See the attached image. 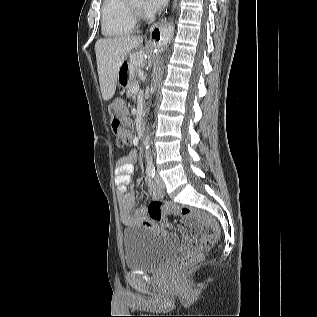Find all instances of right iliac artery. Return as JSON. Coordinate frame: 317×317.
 Here are the masks:
<instances>
[{
	"label": "right iliac artery",
	"mask_w": 317,
	"mask_h": 317,
	"mask_svg": "<svg viewBox=\"0 0 317 317\" xmlns=\"http://www.w3.org/2000/svg\"><path fill=\"white\" fill-rule=\"evenodd\" d=\"M147 176L151 179H153L155 177V168L154 167H150L146 170Z\"/></svg>",
	"instance_id": "obj_1"
}]
</instances>
